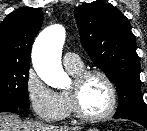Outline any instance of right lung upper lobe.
I'll return each instance as SVG.
<instances>
[{"instance_id": "right-lung-upper-lobe-1", "label": "right lung upper lobe", "mask_w": 147, "mask_h": 131, "mask_svg": "<svg viewBox=\"0 0 147 131\" xmlns=\"http://www.w3.org/2000/svg\"><path fill=\"white\" fill-rule=\"evenodd\" d=\"M43 22L39 8L22 7L0 23V62L30 66L33 40Z\"/></svg>"}]
</instances>
